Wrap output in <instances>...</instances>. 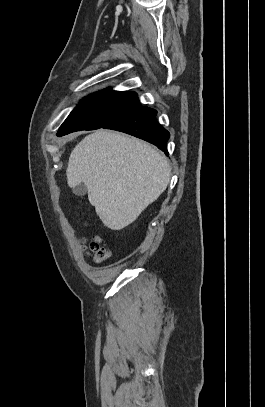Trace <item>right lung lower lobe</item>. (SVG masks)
Returning a JSON list of instances; mask_svg holds the SVG:
<instances>
[{
	"label": "right lung lower lobe",
	"mask_w": 265,
	"mask_h": 407,
	"mask_svg": "<svg viewBox=\"0 0 265 407\" xmlns=\"http://www.w3.org/2000/svg\"><path fill=\"white\" fill-rule=\"evenodd\" d=\"M156 114L154 109L139 106L103 128L125 132L148 141L168 155L166 145L170 134L156 121Z\"/></svg>",
	"instance_id": "98d812e1"
}]
</instances>
